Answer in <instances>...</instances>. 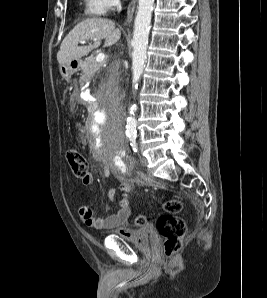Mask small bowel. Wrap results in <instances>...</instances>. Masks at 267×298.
Masks as SVG:
<instances>
[{
    "mask_svg": "<svg viewBox=\"0 0 267 298\" xmlns=\"http://www.w3.org/2000/svg\"><path fill=\"white\" fill-rule=\"evenodd\" d=\"M117 179L119 181L121 197L119 200L118 210L114 214L107 217H96L90 206L82 205L79 208V216L84 224L90 228L97 230L118 229L121 235L129 236L131 234V230L125 227V225L131 212L129 206V193L131 191V186L121 175H118ZM82 182L85 185H91L93 182V176L89 174L87 180ZM107 196L109 200L113 201L116 196V189L110 188Z\"/></svg>",
    "mask_w": 267,
    "mask_h": 298,
    "instance_id": "1",
    "label": "small bowel"
}]
</instances>
